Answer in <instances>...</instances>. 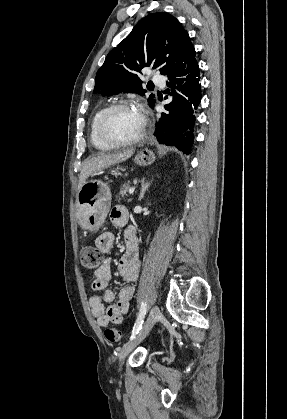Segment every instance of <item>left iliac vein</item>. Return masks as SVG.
<instances>
[{
	"instance_id": "1",
	"label": "left iliac vein",
	"mask_w": 287,
	"mask_h": 419,
	"mask_svg": "<svg viewBox=\"0 0 287 419\" xmlns=\"http://www.w3.org/2000/svg\"><path fill=\"white\" fill-rule=\"evenodd\" d=\"M161 318L158 306H154L145 321L142 329L129 342H127L119 353V363H122L126 356L148 335L153 325Z\"/></svg>"
}]
</instances>
